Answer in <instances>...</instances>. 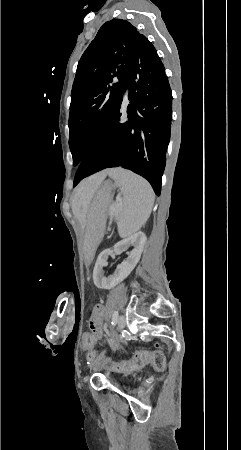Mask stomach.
I'll return each mask as SVG.
<instances>
[{
    "label": "stomach",
    "mask_w": 241,
    "mask_h": 450,
    "mask_svg": "<svg viewBox=\"0 0 241 450\" xmlns=\"http://www.w3.org/2000/svg\"><path fill=\"white\" fill-rule=\"evenodd\" d=\"M113 186L105 182L93 197L89 208L87 229L83 239V258L86 265L93 261L96 249L106 228L109 207L113 200Z\"/></svg>",
    "instance_id": "0dacf381"
}]
</instances>
